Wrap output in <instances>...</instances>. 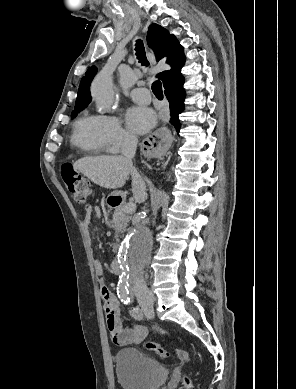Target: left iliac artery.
I'll use <instances>...</instances> for the list:
<instances>
[{"instance_id": "1", "label": "left iliac artery", "mask_w": 296, "mask_h": 389, "mask_svg": "<svg viewBox=\"0 0 296 389\" xmlns=\"http://www.w3.org/2000/svg\"><path fill=\"white\" fill-rule=\"evenodd\" d=\"M132 315L135 318H140L141 317V312L138 309H134L133 312H132Z\"/></svg>"}]
</instances>
